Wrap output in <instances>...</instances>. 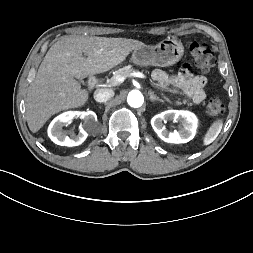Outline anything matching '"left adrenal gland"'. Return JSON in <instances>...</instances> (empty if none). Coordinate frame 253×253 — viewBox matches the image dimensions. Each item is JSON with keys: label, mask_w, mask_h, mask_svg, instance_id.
Returning <instances> with one entry per match:
<instances>
[{"label": "left adrenal gland", "mask_w": 253, "mask_h": 253, "mask_svg": "<svg viewBox=\"0 0 253 253\" xmlns=\"http://www.w3.org/2000/svg\"><path fill=\"white\" fill-rule=\"evenodd\" d=\"M148 94H149L150 100H151L152 102H154V101H159V102H162V103L164 102L162 99H160L159 97H157V96L154 94V92L149 91Z\"/></svg>", "instance_id": "1"}]
</instances>
